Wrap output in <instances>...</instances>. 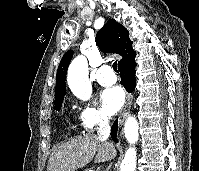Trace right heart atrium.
<instances>
[{"label":"right heart atrium","mask_w":199,"mask_h":171,"mask_svg":"<svg viewBox=\"0 0 199 171\" xmlns=\"http://www.w3.org/2000/svg\"><path fill=\"white\" fill-rule=\"evenodd\" d=\"M109 118L100 108L90 102H85L78 113V124L85 132H91L99 126L107 124Z\"/></svg>","instance_id":"d8ad5b80"}]
</instances>
